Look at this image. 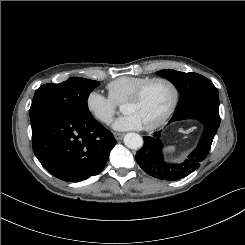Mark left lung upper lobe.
<instances>
[{"label": "left lung upper lobe", "mask_w": 245, "mask_h": 245, "mask_svg": "<svg viewBox=\"0 0 245 245\" xmlns=\"http://www.w3.org/2000/svg\"><path fill=\"white\" fill-rule=\"evenodd\" d=\"M157 74L170 80L181 94L173 116L194 105H219L218 90L206 77L171 69L158 71Z\"/></svg>", "instance_id": "5c2ea615"}]
</instances>
